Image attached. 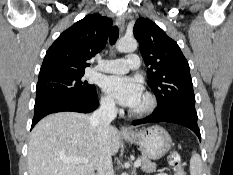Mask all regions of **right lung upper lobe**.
I'll return each instance as SVG.
<instances>
[{
	"instance_id": "right-lung-upper-lobe-1",
	"label": "right lung upper lobe",
	"mask_w": 233,
	"mask_h": 175,
	"mask_svg": "<svg viewBox=\"0 0 233 175\" xmlns=\"http://www.w3.org/2000/svg\"><path fill=\"white\" fill-rule=\"evenodd\" d=\"M112 20L87 15L65 30L46 52L39 78L57 74L84 72L87 60L106 45Z\"/></svg>"
}]
</instances>
